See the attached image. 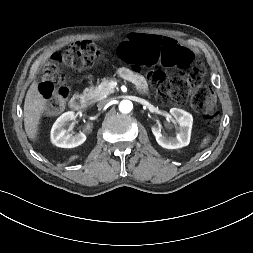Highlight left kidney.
Masks as SVG:
<instances>
[{
  "label": "left kidney",
  "instance_id": "left-kidney-1",
  "mask_svg": "<svg viewBox=\"0 0 253 253\" xmlns=\"http://www.w3.org/2000/svg\"><path fill=\"white\" fill-rule=\"evenodd\" d=\"M170 113L179 124V132L176 137L163 135L161 133V128L158 126H152V133L157 143L163 148L179 149L185 147L190 142L193 117L188 112L178 108H171Z\"/></svg>",
  "mask_w": 253,
  "mask_h": 253
}]
</instances>
